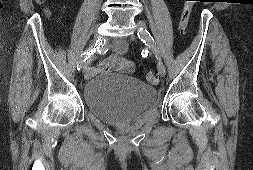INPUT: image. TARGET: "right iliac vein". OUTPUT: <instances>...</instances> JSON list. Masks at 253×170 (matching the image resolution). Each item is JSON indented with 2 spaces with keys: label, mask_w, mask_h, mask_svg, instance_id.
<instances>
[{
  "label": "right iliac vein",
  "mask_w": 253,
  "mask_h": 170,
  "mask_svg": "<svg viewBox=\"0 0 253 170\" xmlns=\"http://www.w3.org/2000/svg\"><path fill=\"white\" fill-rule=\"evenodd\" d=\"M97 38V33H94V39ZM93 57H89L84 63H83V71H84V77L85 79H89L91 77L90 72V66L92 63Z\"/></svg>",
  "instance_id": "1"
}]
</instances>
